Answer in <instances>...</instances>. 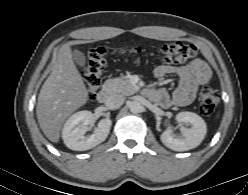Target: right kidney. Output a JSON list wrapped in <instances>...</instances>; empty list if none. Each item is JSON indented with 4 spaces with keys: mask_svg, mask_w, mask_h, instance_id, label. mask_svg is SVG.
Returning a JSON list of instances; mask_svg holds the SVG:
<instances>
[{
    "mask_svg": "<svg viewBox=\"0 0 248 195\" xmlns=\"http://www.w3.org/2000/svg\"><path fill=\"white\" fill-rule=\"evenodd\" d=\"M93 119V113L87 110L76 112L68 118L62 130V138L69 149L86 151L105 141L112 121L108 118L100 120L93 134L85 136Z\"/></svg>",
    "mask_w": 248,
    "mask_h": 195,
    "instance_id": "1",
    "label": "right kidney"
}]
</instances>
